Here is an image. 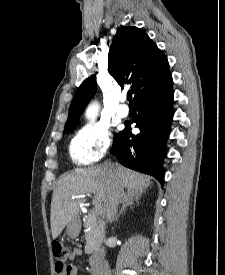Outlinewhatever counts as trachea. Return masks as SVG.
I'll return each instance as SVG.
<instances>
[{"mask_svg": "<svg viewBox=\"0 0 225 275\" xmlns=\"http://www.w3.org/2000/svg\"><path fill=\"white\" fill-rule=\"evenodd\" d=\"M127 98H128L129 104H132V92L127 93Z\"/></svg>", "mask_w": 225, "mask_h": 275, "instance_id": "3493384b", "label": "trachea"}]
</instances>
